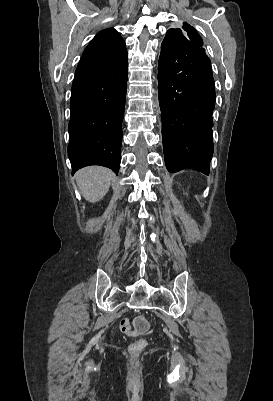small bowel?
Instances as JSON below:
<instances>
[{"label": "small bowel", "mask_w": 273, "mask_h": 401, "mask_svg": "<svg viewBox=\"0 0 273 401\" xmlns=\"http://www.w3.org/2000/svg\"><path fill=\"white\" fill-rule=\"evenodd\" d=\"M118 323H119V327L121 328L120 332L122 333L123 337H125L127 339H129V338L132 339L135 337L136 334L133 331V329L130 327L129 320L127 318H120L118 320Z\"/></svg>", "instance_id": "1"}]
</instances>
